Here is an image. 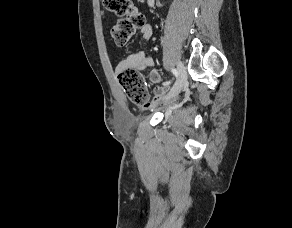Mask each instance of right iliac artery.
Wrapping results in <instances>:
<instances>
[{"instance_id": "1", "label": "right iliac artery", "mask_w": 292, "mask_h": 228, "mask_svg": "<svg viewBox=\"0 0 292 228\" xmlns=\"http://www.w3.org/2000/svg\"><path fill=\"white\" fill-rule=\"evenodd\" d=\"M171 71H172V73L176 76V77H178L179 76V72H178V70L177 69H175V68H172L171 69Z\"/></svg>"}]
</instances>
